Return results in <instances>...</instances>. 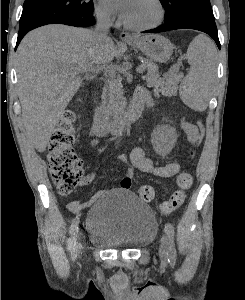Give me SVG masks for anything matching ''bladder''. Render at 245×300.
Masks as SVG:
<instances>
[{"instance_id": "1", "label": "bladder", "mask_w": 245, "mask_h": 300, "mask_svg": "<svg viewBox=\"0 0 245 300\" xmlns=\"http://www.w3.org/2000/svg\"><path fill=\"white\" fill-rule=\"evenodd\" d=\"M88 240L102 248L138 249L151 243L158 231L148 204L126 189L104 192L88 210Z\"/></svg>"}]
</instances>
